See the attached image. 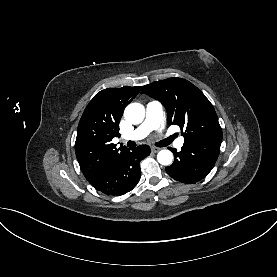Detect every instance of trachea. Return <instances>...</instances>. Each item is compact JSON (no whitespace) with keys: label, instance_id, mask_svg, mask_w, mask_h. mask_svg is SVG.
Here are the masks:
<instances>
[{"label":"trachea","instance_id":"1","mask_svg":"<svg viewBox=\"0 0 277 277\" xmlns=\"http://www.w3.org/2000/svg\"><path fill=\"white\" fill-rule=\"evenodd\" d=\"M174 138H175V136H171V137L168 138V139H165V140L160 141V142L157 143L156 145L159 146V147H165V146L169 145V144L172 142V140H173ZM127 146L133 148V147L136 146V143H135L134 141H128V142H127Z\"/></svg>","mask_w":277,"mask_h":277}]
</instances>
